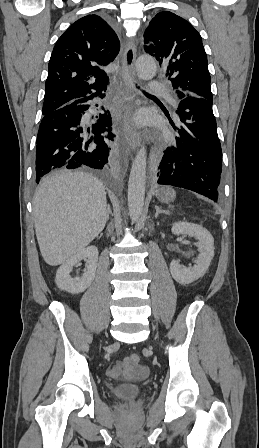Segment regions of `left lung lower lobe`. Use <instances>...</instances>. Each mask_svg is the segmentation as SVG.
I'll return each mask as SVG.
<instances>
[{
    "label": "left lung lower lobe",
    "mask_w": 259,
    "mask_h": 448,
    "mask_svg": "<svg viewBox=\"0 0 259 448\" xmlns=\"http://www.w3.org/2000/svg\"><path fill=\"white\" fill-rule=\"evenodd\" d=\"M179 126L176 145L168 147L156 170L157 183L182 187L218 199L222 150L217 134L213 100L176 90Z\"/></svg>",
    "instance_id": "left-lung-lower-lobe-1"
}]
</instances>
